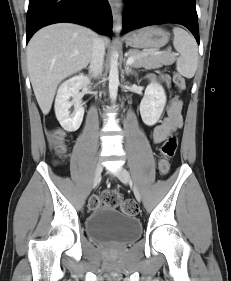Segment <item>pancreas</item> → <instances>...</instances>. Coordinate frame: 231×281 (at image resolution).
Listing matches in <instances>:
<instances>
[{
	"instance_id": "pancreas-1",
	"label": "pancreas",
	"mask_w": 231,
	"mask_h": 281,
	"mask_svg": "<svg viewBox=\"0 0 231 281\" xmlns=\"http://www.w3.org/2000/svg\"><path fill=\"white\" fill-rule=\"evenodd\" d=\"M153 51H139V50H129L128 57H136L135 61L132 63L133 67L136 68H146L155 69L160 68L163 65H171L175 61V56L169 53H159L157 55L149 54ZM148 54V55H144Z\"/></svg>"
}]
</instances>
